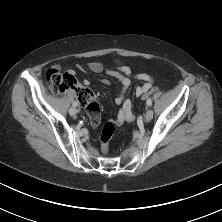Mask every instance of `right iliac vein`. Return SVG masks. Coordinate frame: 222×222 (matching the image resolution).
Listing matches in <instances>:
<instances>
[{
    "label": "right iliac vein",
    "instance_id": "1",
    "mask_svg": "<svg viewBox=\"0 0 222 222\" xmlns=\"http://www.w3.org/2000/svg\"><path fill=\"white\" fill-rule=\"evenodd\" d=\"M69 114H70L71 116H75V115L77 114V109H76L75 107H71V108L69 109Z\"/></svg>",
    "mask_w": 222,
    "mask_h": 222
}]
</instances>
